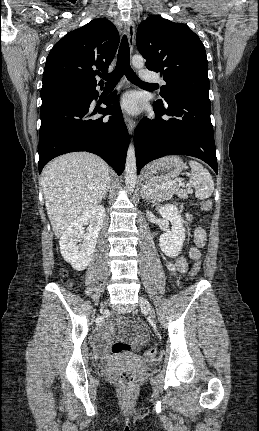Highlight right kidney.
<instances>
[{"label": "right kidney", "instance_id": "right-kidney-1", "mask_svg": "<svg viewBox=\"0 0 259 431\" xmlns=\"http://www.w3.org/2000/svg\"><path fill=\"white\" fill-rule=\"evenodd\" d=\"M104 216V206H95L77 217L61 236V254L75 270L86 269L92 260ZM88 224V232L85 233L84 226Z\"/></svg>", "mask_w": 259, "mask_h": 431}]
</instances>
